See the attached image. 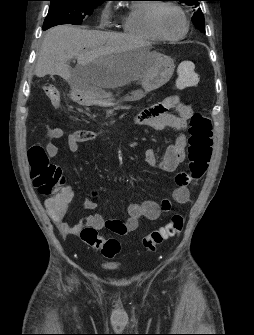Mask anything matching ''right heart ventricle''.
<instances>
[{
  "instance_id": "right-heart-ventricle-1",
  "label": "right heart ventricle",
  "mask_w": 254,
  "mask_h": 335,
  "mask_svg": "<svg viewBox=\"0 0 254 335\" xmlns=\"http://www.w3.org/2000/svg\"><path fill=\"white\" fill-rule=\"evenodd\" d=\"M153 5L146 3L132 4L120 17L123 31L144 40L158 41L159 38L151 30L148 21L149 12Z\"/></svg>"
}]
</instances>
